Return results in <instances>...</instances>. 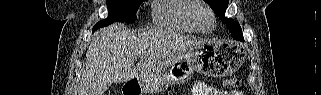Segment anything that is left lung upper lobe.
I'll list each match as a JSON object with an SVG mask.
<instances>
[{"label": "left lung upper lobe", "mask_w": 321, "mask_h": 95, "mask_svg": "<svg viewBox=\"0 0 321 95\" xmlns=\"http://www.w3.org/2000/svg\"><path fill=\"white\" fill-rule=\"evenodd\" d=\"M204 1L210 5V7L219 16L221 21L227 25L229 31L231 32V36L234 39H237L238 37L243 36L242 29L239 23L235 22L233 19H228L224 16L226 9L228 7L229 0H204Z\"/></svg>", "instance_id": "left-lung-upper-lobe-1"}]
</instances>
